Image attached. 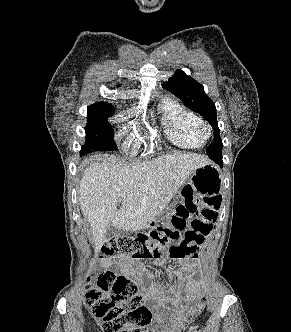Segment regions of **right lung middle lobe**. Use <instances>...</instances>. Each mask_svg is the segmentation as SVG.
Segmentation results:
<instances>
[{
    "label": "right lung middle lobe",
    "instance_id": "dd1d6c3e",
    "mask_svg": "<svg viewBox=\"0 0 291 332\" xmlns=\"http://www.w3.org/2000/svg\"><path fill=\"white\" fill-rule=\"evenodd\" d=\"M88 123L85 128L86 143L80 154L93 150H114V131L107 119L114 115V107L106 102L95 103L87 108Z\"/></svg>",
    "mask_w": 291,
    "mask_h": 332
}]
</instances>
